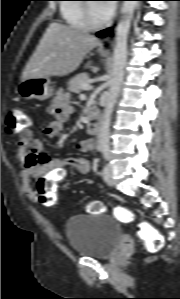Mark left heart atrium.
Wrapping results in <instances>:
<instances>
[{
  "label": "left heart atrium",
  "mask_w": 180,
  "mask_h": 299,
  "mask_svg": "<svg viewBox=\"0 0 180 299\" xmlns=\"http://www.w3.org/2000/svg\"><path fill=\"white\" fill-rule=\"evenodd\" d=\"M114 1H107L106 3L102 4L104 11L108 14V16L112 15L115 10V3Z\"/></svg>",
  "instance_id": "1"
}]
</instances>
